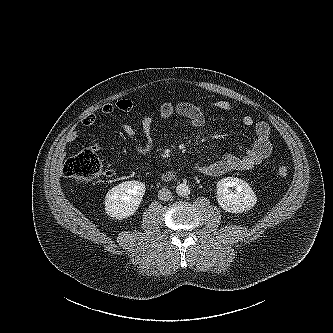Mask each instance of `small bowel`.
<instances>
[{
    "label": "small bowel",
    "instance_id": "c3829d8e",
    "mask_svg": "<svg viewBox=\"0 0 333 333\" xmlns=\"http://www.w3.org/2000/svg\"><path fill=\"white\" fill-rule=\"evenodd\" d=\"M213 107L222 112L232 111V105L228 101L219 100L214 102ZM133 108V102L129 99H120L114 103H107L102 106L101 111L104 114L126 113ZM174 114L182 116L187 125L193 128L202 127L205 124L206 117L203 108L187 101L163 102L158 109L160 121H166ZM96 116L89 114L85 116L81 123L84 126H91L95 123ZM244 127L253 128L256 136L254 144L249 147L242 156L234 154H225L219 160L209 164H196L195 169L207 176H220L230 171H247L255 168L267 159L272 153V144L270 141L271 129L268 123L264 121L256 122L250 115H243L239 119ZM141 137L136 129L130 124H122L121 131L128 136L132 142L136 153L140 155L150 154L156 140V122L150 115H143L140 121ZM77 138V132L72 130L68 132L65 138L66 143H72ZM94 150L98 146H93ZM109 171L108 174H112Z\"/></svg>",
    "mask_w": 333,
    "mask_h": 333
}]
</instances>
